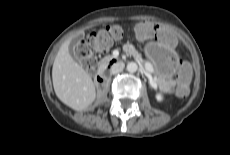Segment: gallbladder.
Here are the masks:
<instances>
[{
    "label": "gallbladder",
    "mask_w": 230,
    "mask_h": 155,
    "mask_svg": "<svg viewBox=\"0 0 230 155\" xmlns=\"http://www.w3.org/2000/svg\"><path fill=\"white\" fill-rule=\"evenodd\" d=\"M78 41H79V38H75V39L72 41V45L77 44ZM72 45L70 46V54L72 55V57H73V59H74L75 61L79 62V61H80L79 58H78L76 55H74V53H73Z\"/></svg>",
    "instance_id": "obj_1"
}]
</instances>
